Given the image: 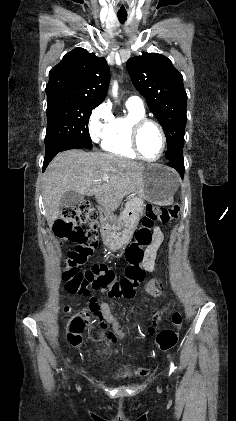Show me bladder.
<instances>
[{"label": "bladder", "mask_w": 236, "mask_h": 421, "mask_svg": "<svg viewBox=\"0 0 236 421\" xmlns=\"http://www.w3.org/2000/svg\"><path fill=\"white\" fill-rule=\"evenodd\" d=\"M114 378L117 383L140 381L138 371L131 369L130 367L118 369Z\"/></svg>", "instance_id": "obj_1"}]
</instances>
